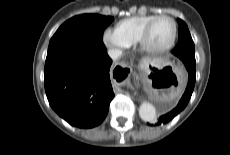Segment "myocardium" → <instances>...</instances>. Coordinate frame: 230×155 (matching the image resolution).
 Segmentation results:
<instances>
[{
	"mask_svg": "<svg viewBox=\"0 0 230 155\" xmlns=\"http://www.w3.org/2000/svg\"><path fill=\"white\" fill-rule=\"evenodd\" d=\"M162 18L169 19L173 23L172 38H171L170 42L167 45H165L164 47H161V48L150 47L148 45V36H149L150 30H151L152 26L154 25V23L157 20L162 19ZM177 35H178V25H177L176 20L170 15L160 14V15L155 16L150 22H148L146 24V26L144 27V29L142 30V32L140 34V37L138 39V43H139L141 49L145 53L150 54V55H161V54L168 52L169 50H171L173 48V46L175 45L176 39H177Z\"/></svg>",
	"mask_w": 230,
	"mask_h": 155,
	"instance_id": "f54148a6",
	"label": "myocardium"
}]
</instances>
